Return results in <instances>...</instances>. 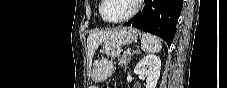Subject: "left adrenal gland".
<instances>
[{
	"label": "left adrenal gland",
	"mask_w": 227,
	"mask_h": 88,
	"mask_svg": "<svg viewBox=\"0 0 227 88\" xmlns=\"http://www.w3.org/2000/svg\"><path fill=\"white\" fill-rule=\"evenodd\" d=\"M138 53H140V51L138 49L133 51V54H138Z\"/></svg>",
	"instance_id": "a2214340"
}]
</instances>
